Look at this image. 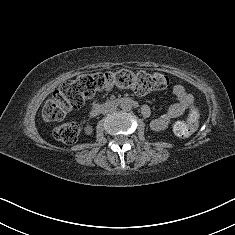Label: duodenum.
<instances>
[{"label": "duodenum", "mask_w": 235, "mask_h": 235, "mask_svg": "<svg viewBox=\"0 0 235 235\" xmlns=\"http://www.w3.org/2000/svg\"><path fill=\"white\" fill-rule=\"evenodd\" d=\"M129 103L131 105H134L136 106V102L133 101V100H130V99H117V100H114V101H111V102H108L104 105H101V104H95L92 106L91 110H90V114L92 116H96L98 115L105 107L107 106H112V105H120L121 103Z\"/></svg>", "instance_id": "410a0bca"}]
</instances>
